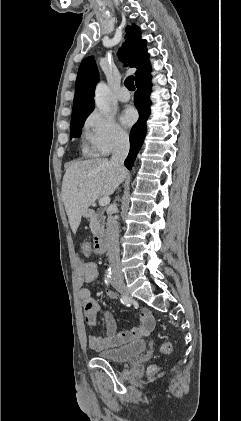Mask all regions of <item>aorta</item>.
<instances>
[{
	"instance_id": "obj_1",
	"label": "aorta",
	"mask_w": 241,
	"mask_h": 421,
	"mask_svg": "<svg viewBox=\"0 0 241 421\" xmlns=\"http://www.w3.org/2000/svg\"><path fill=\"white\" fill-rule=\"evenodd\" d=\"M108 87L105 83L100 82L95 91V104L103 112H106L109 108L108 103Z\"/></svg>"
}]
</instances>
